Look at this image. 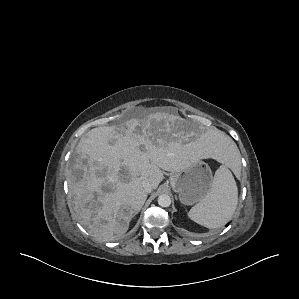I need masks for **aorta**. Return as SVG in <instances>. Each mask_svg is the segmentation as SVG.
<instances>
[{"label": "aorta", "mask_w": 299, "mask_h": 299, "mask_svg": "<svg viewBox=\"0 0 299 299\" xmlns=\"http://www.w3.org/2000/svg\"><path fill=\"white\" fill-rule=\"evenodd\" d=\"M158 204L161 207H169L171 205V198L166 194H162L158 197Z\"/></svg>", "instance_id": "762f6f07"}]
</instances>
